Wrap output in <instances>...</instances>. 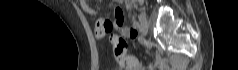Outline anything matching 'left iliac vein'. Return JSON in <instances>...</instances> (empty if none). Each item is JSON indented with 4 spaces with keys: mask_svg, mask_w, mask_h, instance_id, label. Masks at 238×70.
<instances>
[{
    "mask_svg": "<svg viewBox=\"0 0 238 70\" xmlns=\"http://www.w3.org/2000/svg\"><path fill=\"white\" fill-rule=\"evenodd\" d=\"M139 22H140V32L142 33V35H145L149 29V22L147 19V16L145 14H141L139 16Z\"/></svg>",
    "mask_w": 238,
    "mask_h": 70,
    "instance_id": "obj_1",
    "label": "left iliac vein"
}]
</instances>
